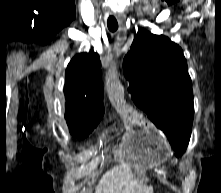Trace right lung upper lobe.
I'll return each mask as SVG.
<instances>
[{"label": "right lung upper lobe", "mask_w": 221, "mask_h": 193, "mask_svg": "<svg viewBox=\"0 0 221 193\" xmlns=\"http://www.w3.org/2000/svg\"><path fill=\"white\" fill-rule=\"evenodd\" d=\"M100 68L99 55L92 50L76 55L67 66L65 118L71 130L81 123L102 118L104 114Z\"/></svg>", "instance_id": "1"}]
</instances>
